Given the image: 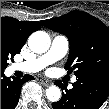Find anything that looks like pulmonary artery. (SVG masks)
<instances>
[{
  "label": "pulmonary artery",
  "mask_w": 109,
  "mask_h": 109,
  "mask_svg": "<svg viewBox=\"0 0 109 109\" xmlns=\"http://www.w3.org/2000/svg\"><path fill=\"white\" fill-rule=\"evenodd\" d=\"M69 49L68 38L64 35H56L51 43L49 50L33 59L16 63L13 65L14 71H22L26 73H36L47 67L48 65L63 58ZM76 78H72L71 82L75 83Z\"/></svg>",
  "instance_id": "1"
}]
</instances>
